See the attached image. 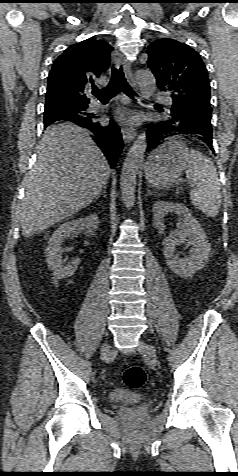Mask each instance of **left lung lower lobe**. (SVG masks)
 <instances>
[{"label":"left lung lower lobe","instance_id":"obj_1","mask_svg":"<svg viewBox=\"0 0 238 476\" xmlns=\"http://www.w3.org/2000/svg\"><path fill=\"white\" fill-rule=\"evenodd\" d=\"M156 109L162 112V119L151 125L147 131V151L156 149L169 137L194 134L214 153L211 114L175 109L164 110L161 106H157Z\"/></svg>","mask_w":238,"mask_h":476}]
</instances>
